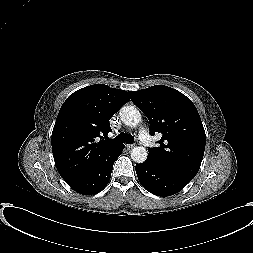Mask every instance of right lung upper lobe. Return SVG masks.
Segmentation results:
<instances>
[{"label": "right lung upper lobe", "instance_id": "obj_1", "mask_svg": "<svg viewBox=\"0 0 253 253\" xmlns=\"http://www.w3.org/2000/svg\"><path fill=\"white\" fill-rule=\"evenodd\" d=\"M129 100V92L104 84L87 86L66 99L51 141L55 165L63 179L91 170L120 145L104 138L111 131L110 118Z\"/></svg>", "mask_w": 253, "mask_h": 253}]
</instances>
